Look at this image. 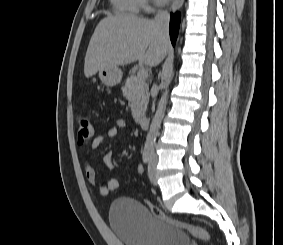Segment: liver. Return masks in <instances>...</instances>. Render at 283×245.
I'll list each match as a JSON object with an SVG mask.
<instances>
[{"label": "liver", "instance_id": "6515ba94", "mask_svg": "<svg viewBox=\"0 0 283 245\" xmlns=\"http://www.w3.org/2000/svg\"><path fill=\"white\" fill-rule=\"evenodd\" d=\"M170 48L169 37L155 21L133 15H108L97 25L87 48L86 78L108 66L139 61L158 65Z\"/></svg>", "mask_w": 283, "mask_h": 245}]
</instances>
